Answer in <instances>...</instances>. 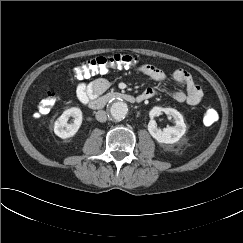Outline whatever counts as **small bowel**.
Here are the masks:
<instances>
[{
  "instance_id": "obj_1",
  "label": "small bowel",
  "mask_w": 243,
  "mask_h": 243,
  "mask_svg": "<svg viewBox=\"0 0 243 243\" xmlns=\"http://www.w3.org/2000/svg\"><path fill=\"white\" fill-rule=\"evenodd\" d=\"M137 72L147 75L158 83H164L167 76L163 70L151 65L143 64L137 69ZM171 76L178 84L185 88V91H175L172 97L179 103H186L188 105H197L203 98V91L193 80L190 73L184 69L178 68L172 71ZM110 86V82L105 78H97L90 82L81 81L76 87V96L83 104H88L93 98L97 97ZM157 91L153 88H147L140 96L144 100H148L155 96Z\"/></svg>"
}]
</instances>
